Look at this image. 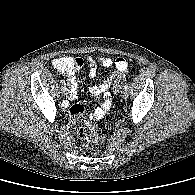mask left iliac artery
Listing matches in <instances>:
<instances>
[{
	"label": "left iliac artery",
	"instance_id": "44dca946",
	"mask_svg": "<svg viewBox=\"0 0 195 195\" xmlns=\"http://www.w3.org/2000/svg\"><path fill=\"white\" fill-rule=\"evenodd\" d=\"M124 88H125V89H128V84H125V85H124Z\"/></svg>",
	"mask_w": 195,
	"mask_h": 195
}]
</instances>
